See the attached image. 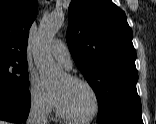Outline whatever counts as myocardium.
<instances>
[{
  "label": "myocardium",
  "mask_w": 156,
  "mask_h": 124,
  "mask_svg": "<svg viewBox=\"0 0 156 124\" xmlns=\"http://www.w3.org/2000/svg\"><path fill=\"white\" fill-rule=\"evenodd\" d=\"M66 78L74 83H79L84 85L85 87H87L90 92L92 93L93 97H94V101H95V107L94 110L87 116L84 117H76L71 115L70 113H68L62 106L57 94L55 92H53L54 94V99H55V105H56V110H57V114L64 120L69 121V122H74V123H86L89 121H92L93 119H95L99 113L101 112V108H102V101H101V97L97 91V89L94 87V85L89 82L88 80L81 78L79 76H75V75H71V74H67Z\"/></svg>",
  "instance_id": "obj_1"
}]
</instances>
